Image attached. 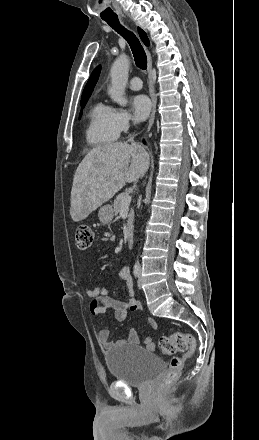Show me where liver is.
<instances>
[{
    "mask_svg": "<svg viewBox=\"0 0 259 440\" xmlns=\"http://www.w3.org/2000/svg\"><path fill=\"white\" fill-rule=\"evenodd\" d=\"M149 165L148 152L136 143L116 142L93 148L74 175L70 208L73 221L86 219L127 182L138 181Z\"/></svg>",
    "mask_w": 259,
    "mask_h": 440,
    "instance_id": "6515ba94",
    "label": "liver"
}]
</instances>
